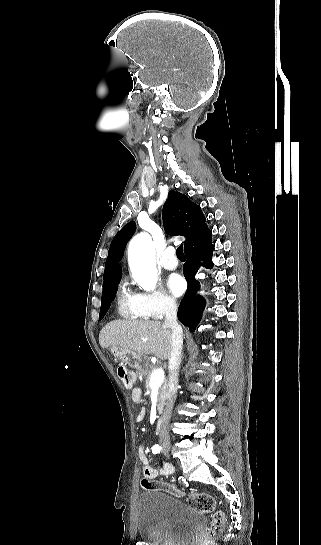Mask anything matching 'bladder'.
<instances>
[{"instance_id": "bladder-1", "label": "bladder", "mask_w": 321, "mask_h": 545, "mask_svg": "<svg viewBox=\"0 0 321 545\" xmlns=\"http://www.w3.org/2000/svg\"><path fill=\"white\" fill-rule=\"evenodd\" d=\"M205 526L203 512L166 491L151 489L139 496L138 534L149 545H192Z\"/></svg>"}]
</instances>
